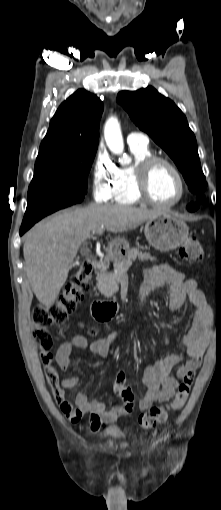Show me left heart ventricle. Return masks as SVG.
<instances>
[{"label": "left heart ventricle", "mask_w": 221, "mask_h": 510, "mask_svg": "<svg viewBox=\"0 0 221 510\" xmlns=\"http://www.w3.org/2000/svg\"><path fill=\"white\" fill-rule=\"evenodd\" d=\"M149 190L154 200L168 203L178 197L180 185L174 172L168 166L160 164L152 171Z\"/></svg>", "instance_id": "1"}]
</instances>
